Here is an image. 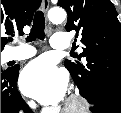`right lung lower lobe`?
Listing matches in <instances>:
<instances>
[{
    "label": "right lung lower lobe",
    "instance_id": "1",
    "mask_svg": "<svg viewBox=\"0 0 121 113\" xmlns=\"http://www.w3.org/2000/svg\"><path fill=\"white\" fill-rule=\"evenodd\" d=\"M18 75L19 67L8 68L1 72V113H17L21 108L25 113H32L17 89Z\"/></svg>",
    "mask_w": 121,
    "mask_h": 113
}]
</instances>
